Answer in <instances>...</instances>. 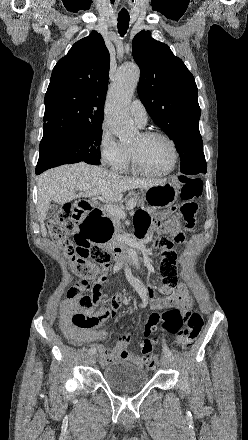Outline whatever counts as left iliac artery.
<instances>
[{
  "instance_id": "44dca946",
  "label": "left iliac artery",
  "mask_w": 248,
  "mask_h": 440,
  "mask_svg": "<svg viewBox=\"0 0 248 440\" xmlns=\"http://www.w3.org/2000/svg\"><path fill=\"white\" fill-rule=\"evenodd\" d=\"M163 341H164V340H163ZM163 351H164V354H165L168 358H170V360H171V359H174V356H173L172 351L167 347V345L165 344V342H164V344H163Z\"/></svg>"
}]
</instances>
